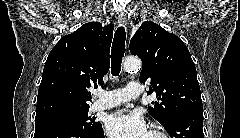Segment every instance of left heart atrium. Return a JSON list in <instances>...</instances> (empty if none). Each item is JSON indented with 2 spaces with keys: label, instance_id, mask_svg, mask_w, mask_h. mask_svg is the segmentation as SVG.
<instances>
[{
  "label": "left heart atrium",
  "instance_id": "obj_1",
  "mask_svg": "<svg viewBox=\"0 0 240 138\" xmlns=\"http://www.w3.org/2000/svg\"><path fill=\"white\" fill-rule=\"evenodd\" d=\"M106 130L112 138H148L144 118L136 111L117 110L106 121Z\"/></svg>",
  "mask_w": 240,
  "mask_h": 138
}]
</instances>
